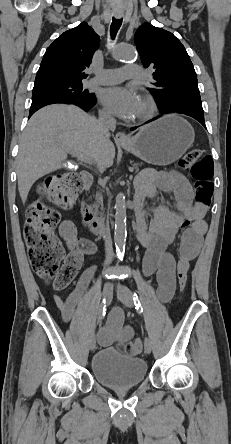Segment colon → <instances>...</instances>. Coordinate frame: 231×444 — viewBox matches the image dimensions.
Returning a JSON list of instances; mask_svg holds the SVG:
<instances>
[{
  "label": "colon",
  "instance_id": "5ec220e1",
  "mask_svg": "<svg viewBox=\"0 0 231 444\" xmlns=\"http://www.w3.org/2000/svg\"><path fill=\"white\" fill-rule=\"evenodd\" d=\"M179 167L191 174L198 204L209 205L213 194V162L204 150H189L180 160ZM79 175L61 173L48 176L39 188L42 201L35 202L24 225V239L31 266L36 274L55 290L66 288L76 276L83 255L79 251L65 253L55 234L60 215L55 207H70L83 188ZM184 227L187 224L183 225ZM187 283V273L178 272L179 289ZM140 340L129 345L132 352L141 350Z\"/></svg>",
  "mask_w": 231,
  "mask_h": 444
}]
</instances>
